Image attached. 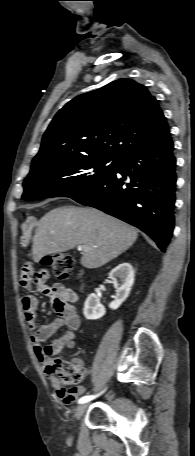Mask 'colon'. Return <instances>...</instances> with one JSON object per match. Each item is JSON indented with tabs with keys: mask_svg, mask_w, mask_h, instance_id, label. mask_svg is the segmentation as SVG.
<instances>
[{
	"mask_svg": "<svg viewBox=\"0 0 195 456\" xmlns=\"http://www.w3.org/2000/svg\"><path fill=\"white\" fill-rule=\"evenodd\" d=\"M43 263L52 268L58 279L63 280L71 276L74 258L69 253H57L44 257ZM45 372L58 378L65 385H76L85 376L83 367L77 361L54 357L49 351L45 361Z\"/></svg>",
	"mask_w": 195,
	"mask_h": 456,
	"instance_id": "obj_1",
	"label": "colon"
}]
</instances>
